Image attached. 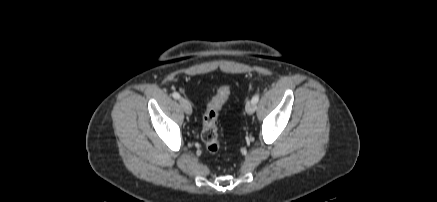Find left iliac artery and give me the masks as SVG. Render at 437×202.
<instances>
[{"label": "left iliac artery", "mask_w": 437, "mask_h": 202, "mask_svg": "<svg viewBox=\"0 0 437 202\" xmlns=\"http://www.w3.org/2000/svg\"><path fill=\"white\" fill-rule=\"evenodd\" d=\"M258 100H259V94H255L252 98V102L256 104Z\"/></svg>", "instance_id": "1"}]
</instances>
